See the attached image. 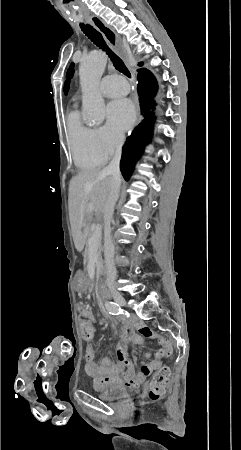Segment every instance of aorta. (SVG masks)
<instances>
[{"label":"aorta","mask_w":241,"mask_h":450,"mask_svg":"<svg viewBox=\"0 0 241 450\" xmlns=\"http://www.w3.org/2000/svg\"><path fill=\"white\" fill-rule=\"evenodd\" d=\"M106 63V55L96 51L85 57L79 67L83 111L85 119L91 124L101 123L105 118V103L98 91V84Z\"/></svg>","instance_id":"1"}]
</instances>
